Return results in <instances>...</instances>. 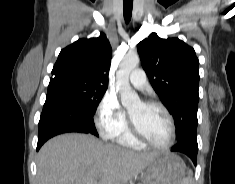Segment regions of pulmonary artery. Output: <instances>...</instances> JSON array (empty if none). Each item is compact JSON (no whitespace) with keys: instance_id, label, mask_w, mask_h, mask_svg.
<instances>
[{"instance_id":"pulmonary-artery-1","label":"pulmonary artery","mask_w":235,"mask_h":184,"mask_svg":"<svg viewBox=\"0 0 235 184\" xmlns=\"http://www.w3.org/2000/svg\"><path fill=\"white\" fill-rule=\"evenodd\" d=\"M129 82L138 90H143L147 85L146 73L141 69L132 71L128 76Z\"/></svg>"}]
</instances>
